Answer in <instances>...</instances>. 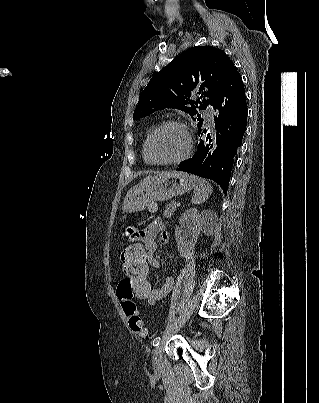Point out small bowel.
Masks as SVG:
<instances>
[{
  "label": "small bowel",
  "mask_w": 319,
  "mask_h": 403,
  "mask_svg": "<svg viewBox=\"0 0 319 403\" xmlns=\"http://www.w3.org/2000/svg\"><path fill=\"white\" fill-rule=\"evenodd\" d=\"M122 230L124 233L131 234V239L134 242H145L146 255L150 262L149 266L159 268L160 263L154 256L157 251L158 244L165 245L169 241V236L165 231L164 222L161 219H156L150 225L138 231H135L133 224H124ZM173 286V277L171 275H167L161 287H153L152 296L147 297V303L151 306L158 304L170 293ZM130 289L131 292L129 296L135 300V286L130 285Z\"/></svg>",
  "instance_id": "c3829d8e"
}]
</instances>
